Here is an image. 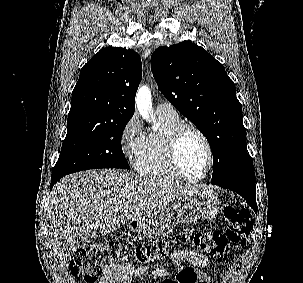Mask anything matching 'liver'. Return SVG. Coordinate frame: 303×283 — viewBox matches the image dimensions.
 Wrapping results in <instances>:
<instances>
[{
	"instance_id": "1",
	"label": "liver",
	"mask_w": 303,
	"mask_h": 283,
	"mask_svg": "<svg viewBox=\"0 0 303 283\" xmlns=\"http://www.w3.org/2000/svg\"><path fill=\"white\" fill-rule=\"evenodd\" d=\"M200 188L118 169L86 170L62 178L51 191L49 210L51 244L61 271H66L79 237L108 234Z\"/></svg>"
}]
</instances>
